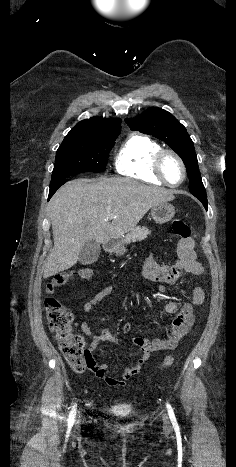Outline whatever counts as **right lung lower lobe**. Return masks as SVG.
<instances>
[{
	"label": "right lung lower lobe",
	"mask_w": 236,
	"mask_h": 467,
	"mask_svg": "<svg viewBox=\"0 0 236 467\" xmlns=\"http://www.w3.org/2000/svg\"><path fill=\"white\" fill-rule=\"evenodd\" d=\"M67 180L60 181L56 184L50 185L48 200L53 196L57 189H59Z\"/></svg>",
	"instance_id": "98d812e1"
}]
</instances>
